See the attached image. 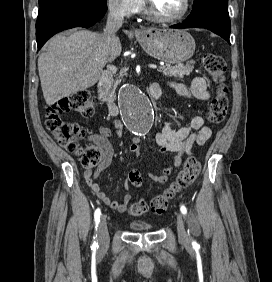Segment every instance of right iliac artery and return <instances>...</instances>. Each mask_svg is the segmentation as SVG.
<instances>
[{
    "instance_id": "right-iliac-artery-1",
    "label": "right iliac artery",
    "mask_w": 272,
    "mask_h": 282,
    "mask_svg": "<svg viewBox=\"0 0 272 282\" xmlns=\"http://www.w3.org/2000/svg\"><path fill=\"white\" fill-rule=\"evenodd\" d=\"M100 215H101V211L100 209H96L95 213H94V220H95V225L97 227L99 221H100ZM97 229V228H96ZM92 248L96 249L98 248V243L96 241L93 242L92 244Z\"/></svg>"
}]
</instances>
